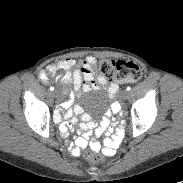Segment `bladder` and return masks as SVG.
Instances as JSON below:
<instances>
[{
    "label": "bladder",
    "instance_id": "bladder-1",
    "mask_svg": "<svg viewBox=\"0 0 183 183\" xmlns=\"http://www.w3.org/2000/svg\"><path fill=\"white\" fill-rule=\"evenodd\" d=\"M109 102L110 99L108 95L102 92H95L86 99L87 108L92 114L104 112L107 109Z\"/></svg>",
    "mask_w": 183,
    "mask_h": 183
}]
</instances>
